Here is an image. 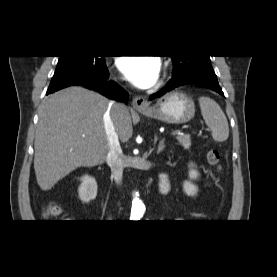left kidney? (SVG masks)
Returning a JSON list of instances; mask_svg holds the SVG:
<instances>
[{
    "mask_svg": "<svg viewBox=\"0 0 277 277\" xmlns=\"http://www.w3.org/2000/svg\"><path fill=\"white\" fill-rule=\"evenodd\" d=\"M188 174L190 180L183 182V191L188 196H195L198 192V187L192 182V180H196L199 177V172L193 168V163L189 164Z\"/></svg>",
    "mask_w": 277,
    "mask_h": 277,
    "instance_id": "obj_1",
    "label": "left kidney"
}]
</instances>
